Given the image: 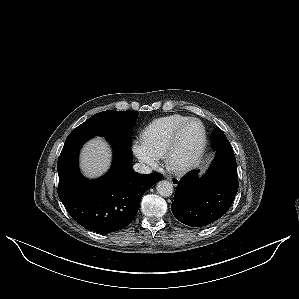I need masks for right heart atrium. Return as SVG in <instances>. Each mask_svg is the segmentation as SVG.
Segmentation results:
<instances>
[{
	"instance_id": "d8ad5b80",
	"label": "right heart atrium",
	"mask_w": 299,
	"mask_h": 299,
	"mask_svg": "<svg viewBox=\"0 0 299 299\" xmlns=\"http://www.w3.org/2000/svg\"><path fill=\"white\" fill-rule=\"evenodd\" d=\"M134 155L143 164L150 168H156L159 165V157L151 153L141 141H135L132 146Z\"/></svg>"
}]
</instances>
